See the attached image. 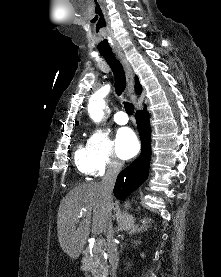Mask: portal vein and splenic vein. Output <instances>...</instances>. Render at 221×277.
<instances>
[{"mask_svg":"<svg viewBox=\"0 0 221 277\" xmlns=\"http://www.w3.org/2000/svg\"><path fill=\"white\" fill-rule=\"evenodd\" d=\"M102 243L103 241L100 238L95 241V244H97L99 247L102 246Z\"/></svg>","mask_w":221,"mask_h":277,"instance_id":"portal-vein-and-splenic-vein-1","label":"portal vein and splenic vein"}]
</instances>
